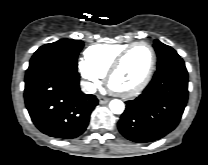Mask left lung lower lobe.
Returning a JSON list of instances; mask_svg holds the SVG:
<instances>
[{
	"mask_svg": "<svg viewBox=\"0 0 208 165\" xmlns=\"http://www.w3.org/2000/svg\"><path fill=\"white\" fill-rule=\"evenodd\" d=\"M187 100L188 72L179 57L159 66L143 93L126 102L118 129L133 142L158 140L179 124Z\"/></svg>",
	"mask_w": 208,
	"mask_h": 165,
	"instance_id": "left-lung-lower-lobe-1",
	"label": "left lung lower lobe"
}]
</instances>
